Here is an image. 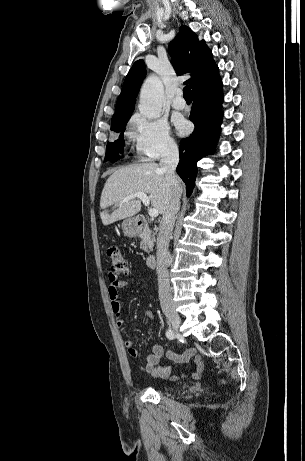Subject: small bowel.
<instances>
[{
	"mask_svg": "<svg viewBox=\"0 0 305 461\" xmlns=\"http://www.w3.org/2000/svg\"><path fill=\"white\" fill-rule=\"evenodd\" d=\"M109 285H108V296L111 302V311L114 315V319L117 325H123L125 322V317L121 310V304L119 302V290L128 287V282L120 280L117 277L113 276L111 273L108 276ZM147 315L150 319H153V314L148 311ZM124 346L126 347L128 354L132 357H136L138 352L135 348V340L132 337H126L124 339ZM165 354L164 348L159 344L152 345V353L149 354L144 363V371L154 377L160 378H171L172 380H178L186 377L199 378L203 370V362L199 356L195 357L194 367L191 373H182L180 375H171V369L158 367L160 360ZM195 355L194 349H189L183 354L179 355L169 350L167 352V357L175 362L184 363L187 362L192 356Z\"/></svg>",
	"mask_w": 305,
	"mask_h": 461,
	"instance_id": "small-bowel-1",
	"label": "small bowel"
}]
</instances>
